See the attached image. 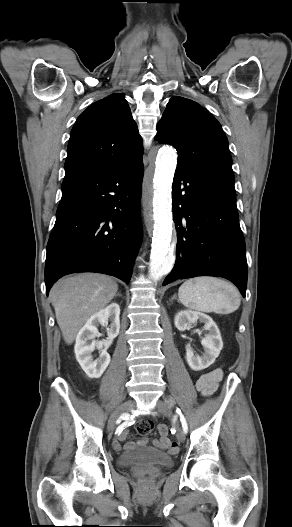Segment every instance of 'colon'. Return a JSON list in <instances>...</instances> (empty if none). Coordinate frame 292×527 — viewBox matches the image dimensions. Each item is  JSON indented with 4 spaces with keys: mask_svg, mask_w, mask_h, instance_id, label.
I'll return each mask as SVG.
<instances>
[{
    "mask_svg": "<svg viewBox=\"0 0 292 527\" xmlns=\"http://www.w3.org/2000/svg\"><path fill=\"white\" fill-rule=\"evenodd\" d=\"M154 424L151 420H142L137 424V431L140 434H148L153 430ZM159 429V427H158Z\"/></svg>",
    "mask_w": 292,
    "mask_h": 527,
    "instance_id": "5ec220e1",
    "label": "colon"
}]
</instances>
